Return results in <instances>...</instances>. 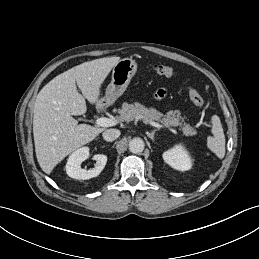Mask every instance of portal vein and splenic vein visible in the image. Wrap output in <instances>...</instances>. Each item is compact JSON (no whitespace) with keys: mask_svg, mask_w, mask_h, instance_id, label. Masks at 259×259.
<instances>
[{"mask_svg":"<svg viewBox=\"0 0 259 259\" xmlns=\"http://www.w3.org/2000/svg\"><path fill=\"white\" fill-rule=\"evenodd\" d=\"M117 122L113 119H109V118H106V117H101V118H98L96 120V124L98 126H101V127H110V126H114ZM144 123L146 124H149L153 127H157V128H163V125L159 124V123H156L154 121H150V120H147L145 119L144 120ZM173 133H176V131L174 129H170Z\"/></svg>","mask_w":259,"mask_h":259,"instance_id":"portal-vein-and-splenic-vein-1","label":"portal vein and splenic vein"}]
</instances>
